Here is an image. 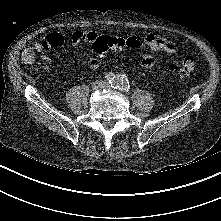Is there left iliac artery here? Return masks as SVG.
I'll use <instances>...</instances> for the list:
<instances>
[{
	"mask_svg": "<svg viewBox=\"0 0 221 221\" xmlns=\"http://www.w3.org/2000/svg\"><path fill=\"white\" fill-rule=\"evenodd\" d=\"M111 86L114 87V88H118V89H120L124 92H127L130 88L128 80L124 79V78L116 79L115 83Z\"/></svg>",
	"mask_w": 221,
	"mask_h": 221,
	"instance_id": "left-iliac-artery-1",
	"label": "left iliac artery"
}]
</instances>
